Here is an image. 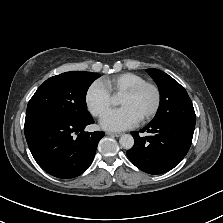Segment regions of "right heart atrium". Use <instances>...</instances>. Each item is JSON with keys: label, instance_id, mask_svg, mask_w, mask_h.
I'll return each mask as SVG.
<instances>
[{"label": "right heart atrium", "instance_id": "d8ad5b80", "mask_svg": "<svg viewBox=\"0 0 223 223\" xmlns=\"http://www.w3.org/2000/svg\"><path fill=\"white\" fill-rule=\"evenodd\" d=\"M111 94L103 81H94L85 92V104L88 111L95 117H101L111 106Z\"/></svg>", "mask_w": 223, "mask_h": 223}]
</instances>
